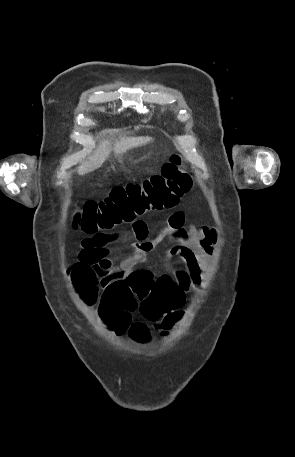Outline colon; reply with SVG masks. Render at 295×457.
Here are the masks:
<instances>
[{"label": "colon", "instance_id": "5ec220e1", "mask_svg": "<svg viewBox=\"0 0 295 457\" xmlns=\"http://www.w3.org/2000/svg\"><path fill=\"white\" fill-rule=\"evenodd\" d=\"M191 185V177L182 168L180 156L173 155L163 164L160 173L142 183L117 186L104 199L84 202L74 215L73 224L88 234L131 225L148 212L174 207ZM70 275L89 303L95 301L98 278L104 280L99 313L119 335L129 331L135 340H149L147 326L132 323L131 314L138 307L146 320L157 322L165 330L182 315L178 291L170 277L154 280L148 272L135 270L124 278V273L111 269V264L93 265L82 261L73 264Z\"/></svg>", "mask_w": 295, "mask_h": 457}]
</instances>
